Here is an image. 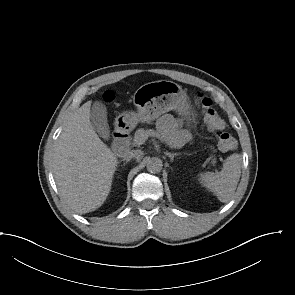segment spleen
Segmentation results:
<instances>
[{
  "label": "spleen",
  "mask_w": 295,
  "mask_h": 295,
  "mask_svg": "<svg viewBox=\"0 0 295 295\" xmlns=\"http://www.w3.org/2000/svg\"><path fill=\"white\" fill-rule=\"evenodd\" d=\"M241 174V160L238 154L230 155L220 172L200 173V183L213 192L221 202H229L235 193Z\"/></svg>",
  "instance_id": "1"
}]
</instances>
